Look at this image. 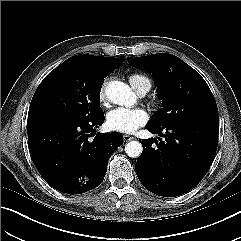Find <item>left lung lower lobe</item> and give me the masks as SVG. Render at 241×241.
<instances>
[{
  "label": "left lung lower lobe",
  "mask_w": 241,
  "mask_h": 241,
  "mask_svg": "<svg viewBox=\"0 0 241 241\" xmlns=\"http://www.w3.org/2000/svg\"><path fill=\"white\" fill-rule=\"evenodd\" d=\"M147 130L163 139L140 141L143 152L135 171L142 185L163 197L179 196L193 189L214 160L219 124L184 122L162 128L148 125Z\"/></svg>",
  "instance_id": "1"
}]
</instances>
